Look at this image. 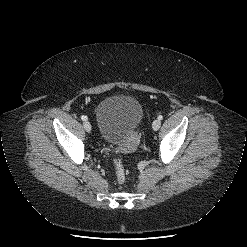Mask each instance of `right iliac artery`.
<instances>
[{
  "mask_svg": "<svg viewBox=\"0 0 247 247\" xmlns=\"http://www.w3.org/2000/svg\"><path fill=\"white\" fill-rule=\"evenodd\" d=\"M81 119L83 120V121H86L87 120V117L86 116H81Z\"/></svg>",
  "mask_w": 247,
  "mask_h": 247,
  "instance_id": "right-iliac-artery-1",
  "label": "right iliac artery"
}]
</instances>
